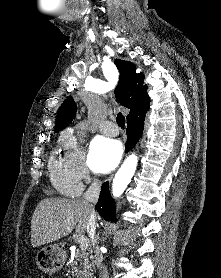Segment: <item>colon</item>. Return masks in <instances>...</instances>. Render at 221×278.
I'll use <instances>...</instances> for the list:
<instances>
[{
    "label": "colon",
    "mask_w": 221,
    "mask_h": 278,
    "mask_svg": "<svg viewBox=\"0 0 221 278\" xmlns=\"http://www.w3.org/2000/svg\"><path fill=\"white\" fill-rule=\"evenodd\" d=\"M22 278H28L27 276H22Z\"/></svg>",
    "instance_id": "obj_1"
}]
</instances>
